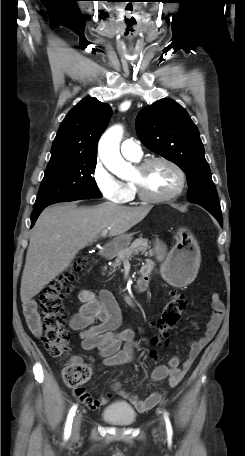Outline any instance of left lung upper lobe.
Wrapping results in <instances>:
<instances>
[{
    "instance_id": "obj_1",
    "label": "left lung upper lobe",
    "mask_w": 245,
    "mask_h": 456,
    "mask_svg": "<svg viewBox=\"0 0 245 456\" xmlns=\"http://www.w3.org/2000/svg\"><path fill=\"white\" fill-rule=\"evenodd\" d=\"M136 129L148 149L174 162L185 172L189 201L204 207L212 215H221L199 131L187 111L171 99H161L139 112Z\"/></svg>"
}]
</instances>
